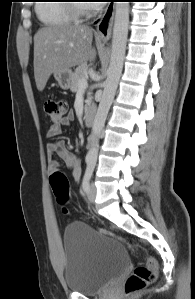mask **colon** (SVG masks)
<instances>
[{
    "label": "colon",
    "instance_id": "colon-1",
    "mask_svg": "<svg viewBox=\"0 0 195 299\" xmlns=\"http://www.w3.org/2000/svg\"><path fill=\"white\" fill-rule=\"evenodd\" d=\"M44 109L53 122H59L65 117L68 105L63 100H47L44 104ZM50 182L58 202L65 204L69 197V180L67 176L62 171L56 170L51 174ZM64 212L67 213V210L64 209ZM103 233L105 235L113 236L131 247L130 242L125 238L115 235L107 230H103ZM156 269V260L152 257H145L143 263L137 266L126 279L124 283L125 293L134 294L152 284L156 280Z\"/></svg>",
    "mask_w": 195,
    "mask_h": 299
}]
</instances>
